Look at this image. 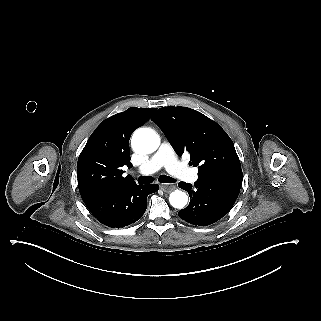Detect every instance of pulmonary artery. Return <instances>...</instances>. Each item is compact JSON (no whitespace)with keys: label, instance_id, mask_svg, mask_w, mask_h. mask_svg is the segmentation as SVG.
<instances>
[{"label":"pulmonary artery","instance_id":"e3ab8cb5","mask_svg":"<svg viewBox=\"0 0 321 321\" xmlns=\"http://www.w3.org/2000/svg\"><path fill=\"white\" fill-rule=\"evenodd\" d=\"M170 144L165 140L159 146L158 150L142 163V170L145 173L156 172L159 167H169L171 176L174 179H182L183 181L196 180L194 167L191 164H182L176 161L174 151L169 147Z\"/></svg>","mask_w":321,"mask_h":321}]
</instances>
